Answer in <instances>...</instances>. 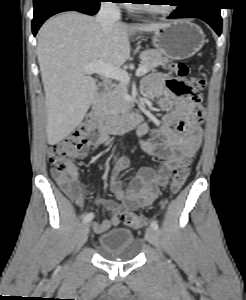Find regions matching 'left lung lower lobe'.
<instances>
[{"label":"left lung lower lobe","mask_w":246,"mask_h":300,"mask_svg":"<svg viewBox=\"0 0 246 300\" xmlns=\"http://www.w3.org/2000/svg\"><path fill=\"white\" fill-rule=\"evenodd\" d=\"M217 0H186L169 18L196 17L208 23L220 36L222 18Z\"/></svg>","instance_id":"obj_1"}]
</instances>
